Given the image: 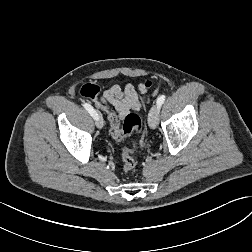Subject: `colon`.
Segmentation results:
<instances>
[{
	"label": "colon",
	"mask_w": 252,
	"mask_h": 252,
	"mask_svg": "<svg viewBox=\"0 0 252 252\" xmlns=\"http://www.w3.org/2000/svg\"><path fill=\"white\" fill-rule=\"evenodd\" d=\"M146 89L153 86L152 82L146 81L142 84ZM81 94L87 99L94 101L99 106L106 108L108 112V121L110 124V132L114 139L122 140L132 133H139L141 130V119L137 114H128L123 123H120L119 116L114 109H108L103 104L100 95V88L94 83H86L81 88ZM138 148L137 143H133L131 147L122 151V160L124 163V171L129 173L133 171L137 165L134 153Z\"/></svg>",
	"instance_id": "colon-1"
}]
</instances>
